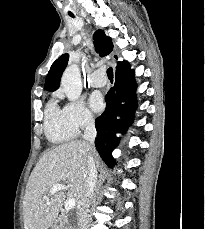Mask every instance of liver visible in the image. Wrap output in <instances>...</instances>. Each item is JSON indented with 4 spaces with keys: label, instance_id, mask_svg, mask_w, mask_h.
<instances>
[{
    "label": "liver",
    "instance_id": "obj_1",
    "mask_svg": "<svg viewBox=\"0 0 205 229\" xmlns=\"http://www.w3.org/2000/svg\"><path fill=\"white\" fill-rule=\"evenodd\" d=\"M90 153L99 168V156L86 141L64 143L42 155L26 185L23 202L25 229H48L52 226L66 198L63 190L49 194L55 184L67 183L68 196L76 197L79 203L84 191Z\"/></svg>",
    "mask_w": 205,
    "mask_h": 229
}]
</instances>
